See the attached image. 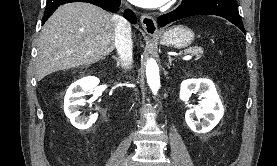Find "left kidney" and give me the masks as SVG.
Here are the masks:
<instances>
[{
  "instance_id": "1",
  "label": "left kidney",
  "mask_w": 277,
  "mask_h": 166,
  "mask_svg": "<svg viewBox=\"0 0 277 166\" xmlns=\"http://www.w3.org/2000/svg\"><path fill=\"white\" fill-rule=\"evenodd\" d=\"M196 92H201L200 95L203 97L201 107L187 110L185 120L192 131L207 133L219 123L223 117L224 108L211 80L188 79L181 83L180 99L182 101L187 102L191 94ZM195 116L198 121L195 120Z\"/></svg>"
}]
</instances>
